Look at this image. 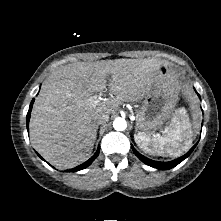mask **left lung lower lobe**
<instances>
[{
    "label": "left lung lower lobe",
    "instance_id": "0a47b994",
    "mask_svg": "<svg viewBox=\"0 0 221 221\" xmlns=\"http://www.w3.org/2000/svg\"><path fill=\"white\" fill-rule=\"evenodd\" d=\"M197 144H195L185 155L172 160L170 162H157V161H153L151 159H148L146 157H144L143 155H141L138 151L135 150V148L132 146L133 152L135 153V155L145 164L156 168V169H163V170H169L174 168L176 165H178L180 162H182L184 159H186L194 150V148L196 147Z\"/></svg>",
    "mask_w": 221,
    "mask_h": 221
}]
</instances>
